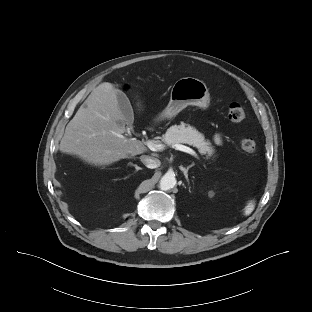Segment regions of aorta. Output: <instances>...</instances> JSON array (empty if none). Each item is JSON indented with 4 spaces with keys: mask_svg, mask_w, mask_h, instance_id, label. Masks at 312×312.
<instances>
[{
    "mask_svg": "<svg viewBox=\"0 0 312 312\" xmlns=\"http://www.w3.org/2000/svg\"><path fill=\"white\" fill-rule=\"evenodd\" d=\"M176 185V178L171 174H165L160 180V189L168 191Z\"/></svg>",
    "mask_w": 312,
    "mask_h": 312,
    "instance_id": "762f6f07",
    "label": "aorta"
}]
</instances>
